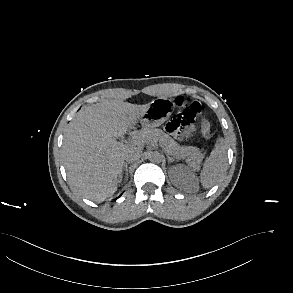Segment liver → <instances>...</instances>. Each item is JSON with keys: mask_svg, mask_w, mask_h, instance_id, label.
Instances as JSON below:
<instances>
[{"mask_svg": "<svg viewBox=\"0 0 293 293\" xmlns=\"http://www.w3.org/2000/svg\"><path fill=\"white\" fill-rule=\"evenodd\" d=\"M149 106L102 100L81 109L69 123L62 155L68 181L81 195L102 200L115 193L126 151L143 149L141 142L125 145L116 138L135 125Z\"/></svg>", "mask_w": 293, "mask_h": 293, "instance_id": "liver-1", "label": "liver"}]
</instances>
